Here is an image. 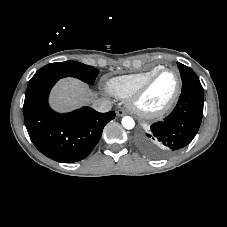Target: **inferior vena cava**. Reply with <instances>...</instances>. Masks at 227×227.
Returning <instances> with one entry per match:
<instances>
[{
    "label": "inferior vena cava",
    "instance_id": "602c4592",
    "mask_svg": "<svg viewBox=\"0 0 227 227\" xmlns=\"http://www.w3.org/2000/svg\"><path fill=\"white\" fill-rule=\"evenodd\" d=\"M92 107L98 112H108L112 108V103L110 100L105 98L97 99L93 102Z\"/></svg>",
    "mask_w": 227,
    "mask_h": 227
}]
</instances>
